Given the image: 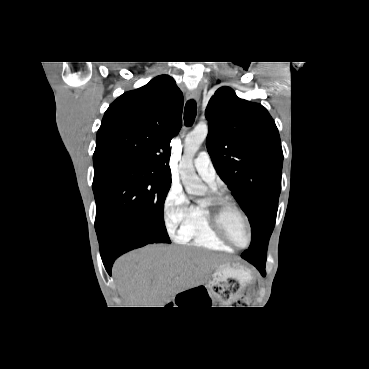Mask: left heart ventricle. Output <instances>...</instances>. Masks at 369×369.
I'll use <instances>...</instances> for the list:
<instances>
[{
	"label": "left heart ventricle",
	"mask_w": 369,
	"mask_h": 369,
	"mask_svg": "<svg viewBox=\"0 0 369 369\" xmlns=\"http://www.w3.org/2000/svg\"><path fill=\"white\" fill-rule=\"evenodd\" d=\"M224 225L230 238L239 246H244L248 234L241 216L234 210L228 209L224 215Z\"/></svg>",
	"instance_id": "obj_1"
}]
</instances>
